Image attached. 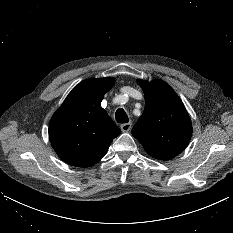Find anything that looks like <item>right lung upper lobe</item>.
Listing matches in <instances>:
<instances>
[{
	"mask_svg": "<svg viewBox=\"0 0 233 233\" xmlns=\"http://www.w3.org/2000/svg\"><path fill=\"white\" fill-rule=\"evenodd\" d=\"M114 78L86 79L68 94L49 124V139L66 163L90 167L106 154L121 130L101 107Z\"/></svg>",
	"mask_w": 233,
	"mask_h": 233,
	"instance_id": "obj_1",
	"label": "right lung upper lobe"
}]
</instances>
